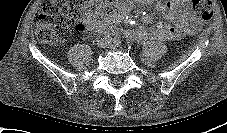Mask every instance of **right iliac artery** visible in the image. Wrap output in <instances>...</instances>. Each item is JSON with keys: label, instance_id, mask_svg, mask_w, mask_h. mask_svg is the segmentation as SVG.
Masks as SVG:
<instances>
[{"label": "right iliac artery", "instance_id": "obj_1", "mask_svg": "<svg viewBox=\"0 0 227 133\" xmlns=\"http://www.w3.org/2000/svg\"><path fill=\"white\" fill-rule=\"evenodd\" d=\"M105 38H107L108 40H110V42H111V40H112L110 34H108Z\"/></svg>", "mask_w": 227, "mask_h": 133}]
</instances>
